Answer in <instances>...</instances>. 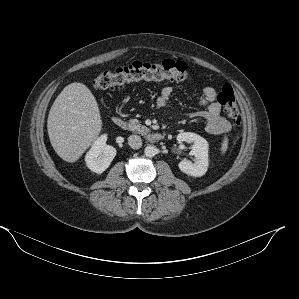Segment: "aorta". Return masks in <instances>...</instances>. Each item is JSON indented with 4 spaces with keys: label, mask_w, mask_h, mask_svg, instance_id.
<instances>
[{
    "label": "aorta",
    "mask_w": 299,
    "mask_h": 299,
    "mask_svg": "<svg viewBox=\"0 0 299 299\" xmlns=\"http://www.w3.org/2000/svg\"><path fill=\"white\" fill-rule=\"evenodd\" d=\"M144 153L147 157H154L158 153V149L153 145H148L145 147Z\"/></svg>",
    "instance_id": "aorta-1"
}]
</instances>
